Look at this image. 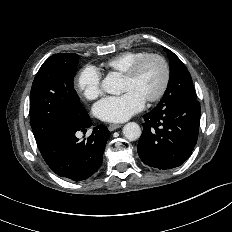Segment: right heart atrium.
<instances>
[{
	"mask_svg": "<svg viewBox=\"0 0 232 232\" xmlns=\"http://www.w3.org/2000/svg\"><path fill=\"white\" fill-rule=\"evenodd\" d=\"M76 87L85 99H95L101 93V73L94 66H85L76 78Z\"/></svg>",
	"mask_w": 232,
	"mask_h": 232,
	"instance_id": "d8ad5b80",
	"label": "right heart atrium"
}]
</instances>
